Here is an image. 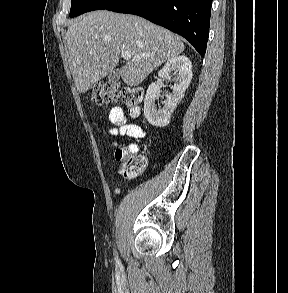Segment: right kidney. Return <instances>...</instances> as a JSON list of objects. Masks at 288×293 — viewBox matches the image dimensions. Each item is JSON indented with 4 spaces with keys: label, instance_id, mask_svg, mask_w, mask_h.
<instances>
[{
    "label": "right kidney",
    "instance_id": "ca27d5eb",
    "mask_svg": "<svg viewBox=\"0 0 288 293\" xmlns=\"http://www.w3.org/2000/svg\"><path fill=\"white\" fill-rule=\"evenodd\" d=\"M192 62L186 56H176L168 60L158 72V83H151L147 89L144 100V115L147 121L157 127H165L169 124L171 114L178 102L184 97L192 79ZM171 72L177 73L175 84L171 87L172 93L166 95L163 106L156 105L160 97L161 81L169 77Z\"/></svg>",
    "mask_w": 288,
    "mask_h": 293
}]
</instances>
